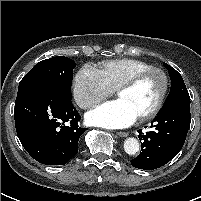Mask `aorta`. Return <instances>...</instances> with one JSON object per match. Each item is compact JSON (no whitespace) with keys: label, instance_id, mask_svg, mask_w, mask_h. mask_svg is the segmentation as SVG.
<instances>
[{"label":"aorta","instance_id":"1","mask_svg":"<svg viewBox=\"0 0 201 201\" xmlns=\"http://www.w3.org/2000/svg\"><path fill=\"white\" fill-rule=\"evenodd\" d=\"M140 145L136 138L129 137L124 141V150L129 155H134L139 151Z\"/></svg>","mask_w":201,"mask_h":201}]
</instances>
